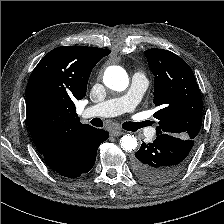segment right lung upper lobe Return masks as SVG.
Segmentation results:
<instances>
[{"label":"right lung upper lobe","instance_id":"obj_1","mask_svg":"<svg viewBox=\"0 0 224 224\" xmlns=\"http://www.w3.org/2000/svg\"><path fill=\"white\" fill-rule=\"evenodd\" d=\"M110 50L61 46L45 55L32 71L25 91L28 128L42 155L90 125L79 122L73 101L86 95L94 66Z\"/></svg>","mask_w":224,"mask_h":224}]
</instances>
